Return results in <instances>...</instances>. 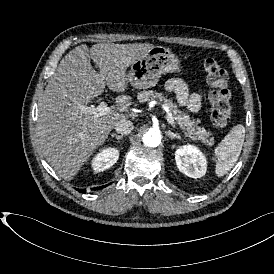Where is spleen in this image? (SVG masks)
<instances>
[{"instance_id":"spleen-1","label":"spleen","mask_w":274,"mask_h":274,"mask_svg":"<svg viewBox=\"0 0 274 274\" xmlns=\"http://www.w3.org/2000/svg\"><path fill=\"white\" fill-rule=\"evenodd\" d=\"M245 138L243 124L235 125L224 139L214 148L215 173L217 177L224 176L238 160Z\"/></svg>"}]
</instances>
